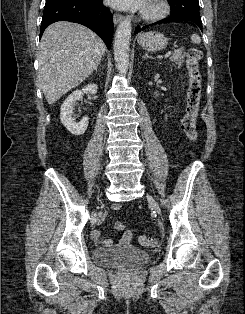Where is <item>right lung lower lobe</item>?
<instances>
[{
    "mask_svg": "<svg viewBox=\"0 0 245 314\" xmlns=\"http://www.w3.org/2000/svg\"><path fill=\"white\" fill-rule=\"evenodd\" d=\"M57 21L75 22L90 28L110 48L113 17L102 0H46L40 37L48 25Z\"/></svg>",
    "mask_w": 245,
    "mask_h": 314,
    "instance_id": "1",
    "label": "right lung lower lobe"
}]
</instances>
